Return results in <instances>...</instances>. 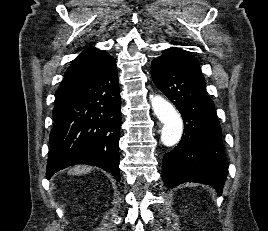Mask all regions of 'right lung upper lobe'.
<instances>
[{"mask_svg": "<svg viewBox=\"0 0 268 231\" xmlns=\"http://www.w3.org/2000/svg\"><path fill=\"white\" fill-rule=\"evenodd\" d=\"M114 58L106 52L90 47L73 60L67 71L58 93L69 92L78 83L98 73Z\"/></svg>", "mask_w": 268, "mask_h": 231, "instance_id": "cb5924a9", "label": "right lung upper lobe"}]
</instances>
